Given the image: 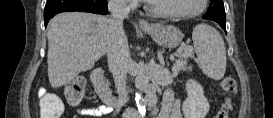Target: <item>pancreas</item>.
<instances>
[{
    "instance_id": "pancreas-1",
    "label": "pancreas",
    "mask_w": 273,
    "mask_h": 118,
    "mask_svg": "<svg viewBox=\"0 0 273 118\" xmlns=\"http://www.w3.org/2000/svg\"><path fill=\"white\" fill-rule=\"evenodd\" d=\"M179 60L178 62L174 65L173 67V71L174 72H178L180 70H187V69H191V67L187 68V61L190 57L193 56V48L190 46H185L183 48V51L179 52Z\"/></svg>"
}]
</instances>
